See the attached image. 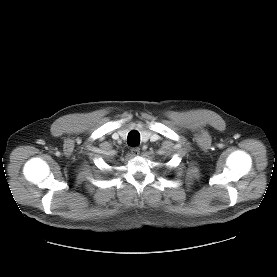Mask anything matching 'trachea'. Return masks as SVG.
<instances>
[{
    "label": "trachea",
    "mask_w": 277,
    "mask_h": 277,
    "mask_svg": "<svg viewBox=\"0 0 277 277\" xmlns=\"http://www.w3.org/2000/svg\"><path fill=\"white\" fill-rule=\"evenodd\" d=\"M129 146L136 147L140 144V134L137 131H131L127 137Z\"/></svg>",
    "instance_id": "trachea-1"
}]
</instances>
